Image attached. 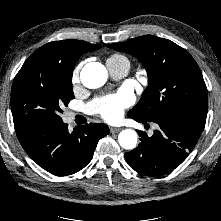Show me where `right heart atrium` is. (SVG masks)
<instances>
[{"label":"right heart atrium","instance_id":"1","mask_svg":"<svg viewBox=\"0 0 221 221\" xmlns=\"http://www.w3.org/2000/svg\"><path fill=\"white\" fill-rule=\"evenodd\" d=\"M80 69H81V65H78V66L75 67V69L72 72V83H73V85H76V84L79 83Z\"/></svg>","mask_w":221,"mask_h":221}]
</instances>
